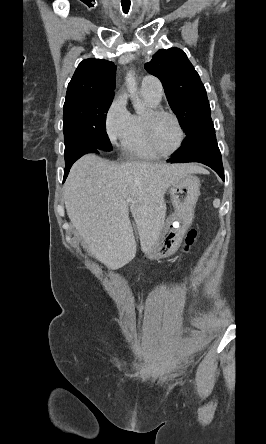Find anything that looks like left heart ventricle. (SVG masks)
Instances as JSON below:
<instances>
[{
    "label": "left heart ventricle",
    "mask_w": 266,
    "mask_h": 444,
    "mask_svg": "<svg viewBox=\"0 0 266 444\" xmlns=\"http://www.w3.org/2000/svg\"><path fill=\"white\" fill-rule=\"evenodd\" d=\"M153 135L158 147L163 151L173 150L179 141V131L175 121L168 116H161L155 120Z\"/></svg>",
    "instance_id": "1"
}]
</instances>
